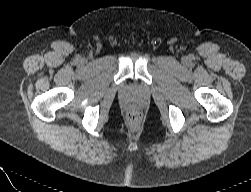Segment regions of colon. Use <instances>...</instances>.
I'll list each match as a JSON object with an SVG mask.
<instances>
[{
    "mask_svg": "<svg viewBox=\"0 0 251 192\" xmlns=\"http://www.w3.org/2000/svg\"><path fill=\"white\" fill-rule=\"evenodd\" d=\"M127 119L131 125H136V124H138V122L140 120V115L137 112H131L128 114Z\"/></svg>",
    "mask_w": 251,
    "mask_h": 192,
    "instance_id": "5ec220e1",
    "label": "colon"
}]
</instances>
